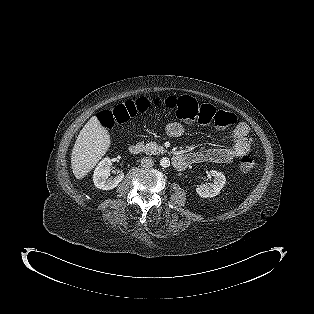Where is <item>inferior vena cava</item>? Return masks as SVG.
Listing matches in <instances>:
<instances>
[{
  "label": "inferior vena cava",
  "instance_id": "inferior-vena-cava-1",
  "mask_svg": "<svg viewBox=\"0 0 314 314\" xmlns=\"http://www.w3.org/2000/svg\"><path fill=\"white\" fill-rule=\"evenodd\" d=\"M154 165V161L151 157H144L141 159V167L151 168Z\"/></svg>",
  "mask_w": 314,
  "mask_h": 314
}]
</instances>
